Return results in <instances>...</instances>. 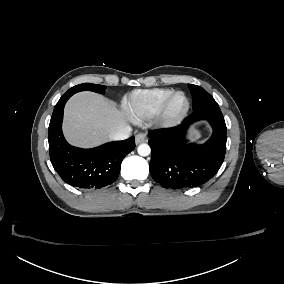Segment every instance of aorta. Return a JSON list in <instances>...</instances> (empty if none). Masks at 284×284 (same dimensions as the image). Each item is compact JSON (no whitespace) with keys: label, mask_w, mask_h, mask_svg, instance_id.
<instances>
[{"label":"aorta","mask_w":284,"mask_h":284,"mask_svg":"<svg viewBox=\"0 0 284 284\" xmlns=\"http://www.w3.org/2000/svg\"><path fill=\"white\" fill-rule=\"evenodd\" d=\"M137 152L140 156H148L151 153V148L148 144L142 143L138 146Z\"/></svg>","instance_id":"aorta-1"}]
</instances>
